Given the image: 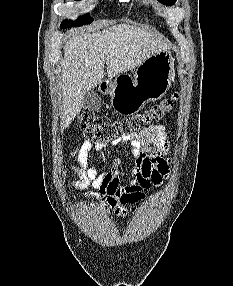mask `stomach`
I'll return each instance as SVG.
<instances>
[{
  "instance_id": "stomach-1",
  "label": "stomach",
  "mask_w": 233,
  "mask_h": 286,
  "mask_svg": "<svg viewBox=\"0 0 233 286\" xmlns=\"http://www.w3.org/2000/svg\"><path fill=\"white\" fill-rule=\"evenodd\" d=\"M173 60L171 52L163 50L137 67L134 81L130 77L125 82L120 77L114 83L108 81L105 92L116 112L132 115L147 102L161 99L171 86Z\"/></svg>"
}]
</instances>
